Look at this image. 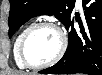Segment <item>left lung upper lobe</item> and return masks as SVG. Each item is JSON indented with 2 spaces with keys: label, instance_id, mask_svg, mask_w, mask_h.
<instances>
[{
  "label": "left lung upper lobe",
  "instance_id": "left-lung-upper-lobe-1",
  "mask_svg": "<svg viewBox=\"0 0 102 75\" xmlns=\"http://www.w3.org/2000/svg\"><path fill=\"white\" fill-rule=\"evenodd\" d=\"M75 0H10L9 37L30 18L54 15L64 25L73 14Z\"/></svg>",
  "mask_w": 102,
  "mask_h": 75
}]
</instances>
